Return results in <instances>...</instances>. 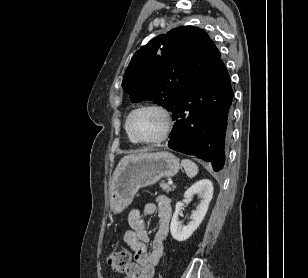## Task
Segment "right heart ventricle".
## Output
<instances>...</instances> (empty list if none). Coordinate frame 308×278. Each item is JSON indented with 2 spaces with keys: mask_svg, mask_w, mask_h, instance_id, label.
<instances>
[{
  "mask_svg": "<svg viewBox=\"0 0 308 278\" xmlns=\"http://www.w3.org/2000/svg\"><path fill=\"white\" fill-rule=\"evenodd\" d=\"M125 130H126V133H127V136H128V138H129V140H130L131 142L135 143V141L130 137V135H129L128 132H127L126 123H125Z\"/></svg>",
  "mask_w": 308,
  "mask_h": 278,
  "instance_id": "1",
  "label": "right heart ventricle"
}]
</instances>
